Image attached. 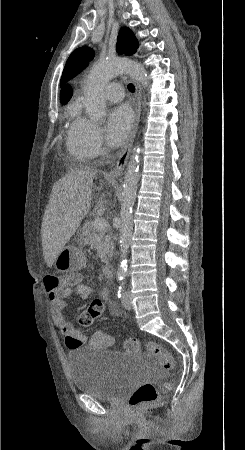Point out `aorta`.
Here are the masks:
<instances>
[{"instance_id": "aorta-1", "label": "aorta", "mask_w": 245, "mask_h": 450, "mask_svg": "<svg viewBox=\"0 0 245 450\" xmlns=\"http://www.w3.org/2000/svg\"><path fill=\"white\" fill-rule=\"evenodd\" d=\"M121 73H128L139 82H145L147 80V72L144 67L127 58H117L109 61L97 62L93 65L84 89L86 112L93 121L100 122L105 115V84ZM138 149L139 146H137V150ZM138 181V152L134 149L125 173L120 211V264L118 274L123 278L127 275V254L132 237V212L137 194Z\"/></svg>"}]
</instances>
